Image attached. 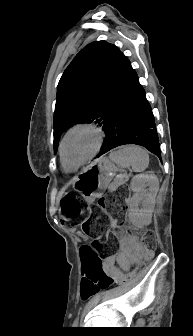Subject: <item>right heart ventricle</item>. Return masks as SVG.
I'll list each match as a JSON object with an SVG mask.
<instances>
[{
    "label": "right heart ventricle",
    "instance_id": "right-heart-ventricle-1",
    "mask_svg": "<svg viewBox=\"0 0 193 336\" xmlns=\"http://www.w3.org/2000/svg\"><path fill=\"white\" fill-rule=\"evenodd\" d=\"M62 166H63V169H64L65 172H72V171H75V170H73V169H70V168L66 167L63 163H62Z\"/></svg>",
    "mask_w": 193,
    "mask_h": 336
}]
</instances>
